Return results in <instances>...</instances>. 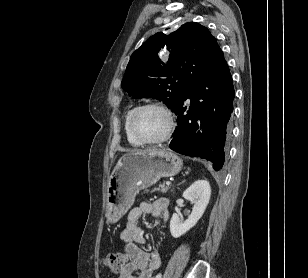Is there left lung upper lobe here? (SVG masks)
<instances>
[{
  "label": "left lung upper lobe",
  "mask_w": 308,
  "mask_h": 278,
  "mask_svg": "<svg viewBox=\"0 0 308 278\" xmlns=\"http://www.w3.org/2000/svg\"><path fill=\"white\" fill-rule=\"evenodd\" d=\"M223 56L206 27L185 23L169 35L156 33L132 54L122 88L133 98L163 100L175 111L189 89Z\"/></svg>",
  "instance_id": "left-lung-upper-lobe-1"
}]
</instances>
